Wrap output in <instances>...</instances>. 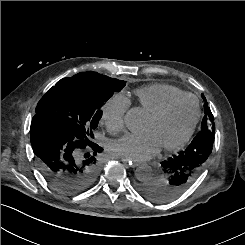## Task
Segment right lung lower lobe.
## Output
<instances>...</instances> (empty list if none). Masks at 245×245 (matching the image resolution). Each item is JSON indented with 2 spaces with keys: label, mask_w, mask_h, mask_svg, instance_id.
I'll return each mask as SVG.
<instances>
[{
  "label": "right lung lower lobe",
  "mask_w": 245,
  "mask_h": 245,
  "mask_svg": "<svg viewBox=\"0 0 245 245\" xmlns=\"http://www.w3.org/2000/svg\"><path fill=\"white\" fill-rule=\"evenodd\" d=\"M30 139L38 168L58 192L78 194L93 185L99 172V153L92 141L76 139L63 125L38 113L32 119Z\"/></svg>",
  "instance_id": "right-lung-lower-lobe-1"
}]
</instances>
